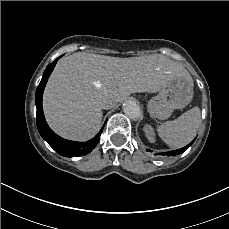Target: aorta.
<instances>
[{
  "label": "aorta",
  "instance_id": "obj_1",
  "mask_svg": "<svg viewBox=\"0 0 229 229\" xmlns=\"http://www.w3.org/2000/svg\"><path fill=\"white\" fill-rule=\"evenodd\" d=\"M123 111L132 120H137L141 116L140 107L133 100H128L123 104Z\"/></svg>",
  "mask_w": 229,
  "mask_h": 229
}]
</instances>
